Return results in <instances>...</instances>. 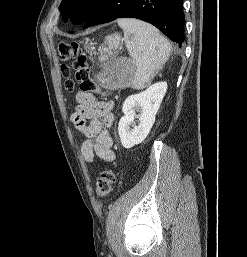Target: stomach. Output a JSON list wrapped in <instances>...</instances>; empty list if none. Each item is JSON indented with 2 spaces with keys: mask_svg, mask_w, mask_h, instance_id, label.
Instances as JSON below:
<instances>
[{
  "mask_svg": "<svg viewBox=\"0 0 247 257\" xmlns=\"http://www.w3.org/2000/svg\"><path fill=\"white\" fill-rule=\"evenodd\" d=\"M107 45L103 47L98 54L100 61H106L111 57H114L121 45V37L118 34H114L107 37ZM85 49L88 53H92V44H85ZM133 66L130 63L123 64L117 74V87L127 86L132 84L134 79Z\"/></svg>",
  "mask_w": 247,
  "mask_h": 257,
  "instance_id": "stomach-1",
  "label": "stomach"
}]
</instances>
